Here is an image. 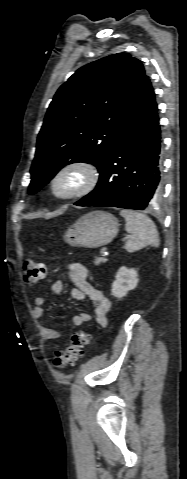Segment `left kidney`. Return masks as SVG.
<instances>
[{"instance_id":"left-kidney-1","label":"left kidney","mask_w":187,"mask_h":479,"mask_svg":"<svg viewBox=\"0 0 187 479\" xmlns=\"http://www.w3.org/2000/svg\"><path fill=\"white\" fill-rule=\"evenodd\" d=\"M138 273L135 269H128L122 266L115 276L112 284V295L116 298H123L126 294L136 288L138 284Z\"/></svg>"}]
</instances>
